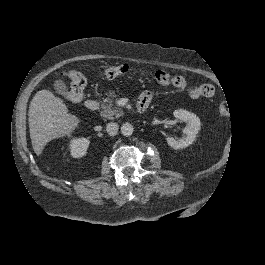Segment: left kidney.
Here are the masks:
<instances>
[{
	"instance_id": "obj_1",
	"label": "left kidney",
	"mask_w": 265,
	"mask_h": 265,
	"mask_svg": "<svg viewBox=\"0 0 265 265\" xmlns=\"http://www.w3.org/2000/svg\"><path fill=\"white\" fill-rule=\"evenodd\" d=\"M173 114L176 118L186 122L187 125L183 130L184 136L182 138L176 140L173 137H168L166 139L167 143L174 149L188 147L193 143L198 131L200 130V119L194 113L183 109L175 110Z\"/></svg>"
}]
</instances>
